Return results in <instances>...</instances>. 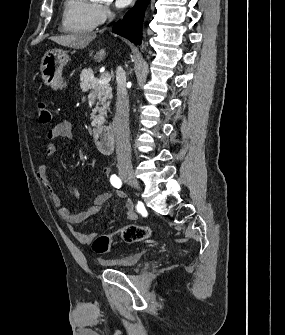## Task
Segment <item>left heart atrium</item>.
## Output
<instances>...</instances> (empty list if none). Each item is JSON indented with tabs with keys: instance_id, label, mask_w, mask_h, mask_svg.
<instances>
[{
	"instance_id": "obj_1",
	"label": "left heart atrium",
	"mask_w": 285,
	"mask_h": 335,
	"mask_svg": "<svg viewBox=\"0 0 285 335\" xmlns=\"http://www.w3.org/2000/svg\"><path fill=\"white\" fill-rule=\"evenodd\" d=\"M115 2H116L117 7L119 8H125L131 3V1H115Z\"/></svg>"
}]
</instances>
